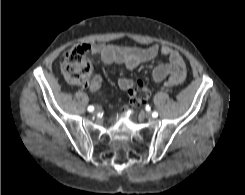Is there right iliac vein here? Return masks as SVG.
Segmentation results:
<instances>
[{
	"instance_id": "1",
	"label": "right iliac vein",
	"mask_w": 245,
	"mask_h": 195,
	"mask_svg": "<svg viewBox=\"0 0 245 195\" xmlns=\"http://www.w3.org/2000/svg\"><path fill=\"white\" fill-rule=\"evenodd\" d=\"M98 112H99V108H96V109L93 111L94 114H97Z\"/></svg>"
}]
</instances>
